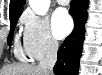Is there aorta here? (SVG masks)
Returning <instances> with one entry per match:
<instances>
[{
  "label": "aorta",
  "instance_id": "obj_1",
  "mask_svg": "<svg viewBox=\"0 0 102 75\" xmlns=\"http://www.w3.org/2000/svg\"><path fill=\"white\" fill-rule=\"evenodd\" d=\"M31 9L38 15H45L50 7V0H29Z\"/></svg>",
  "mask_w": 102,
  "mask_h": 75
}]
</instances>
